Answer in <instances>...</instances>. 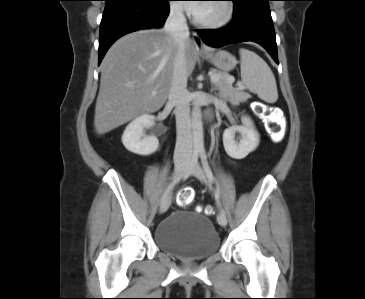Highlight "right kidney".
<instances>
[{
    "label": "right kidney",
    "mask_w": 365,
    "mask_h": 299,
    "mask_svg": "<svg viewBox=\"0 0 365 299\" xmlns=\"http://www.w3.org/2000/svg\"><path fill=\"white\" fill-rule=\"evenodd\" d=\"M154 117L148 114L135 118L125 129L122 135V143L125 148L138 155H150L159 147V141L155 136H145V127L152 126Z\"/></svg>",
    "instance_id": "1"
}]
</instances>
